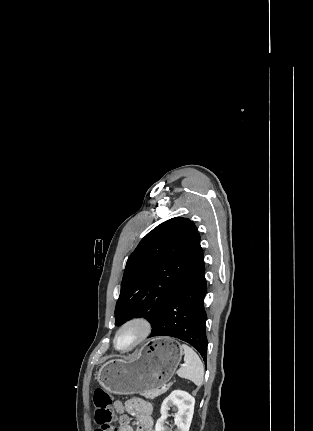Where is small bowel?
<instances>
[{"label": "small bowel", "instance_id": "c3829d8e", "mask_svg": "<svg viewBox=\"0 0 313 431\" xmlns=\"http://www.w3.org/2000/svg\"><path fill=\"white\" fill-rule=\"evenodd\" d=\"M114 408L119 414V427L117 431H134L130 424L131 417L137 421L136 431H153L152 406L150 403L133 398L122 403L116 401Z\"/></svg>", "mask_w": 313, "mask_h": 431}]
</instances>
